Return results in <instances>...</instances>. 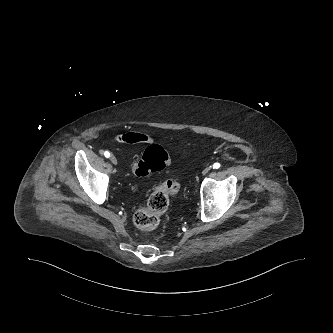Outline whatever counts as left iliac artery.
<instances>
[{
  "instance_id": "1",
  "label": "left iliac artery",
  "mask_w": 333,
  "mask_h": 333,
  "mask_svg": "<svg viewBox=\"0 0 333 333\" xmlns=\"http://www.w3.org/2000/svg\"><path fill=\"white\" fill-rule=\"evenodd\" d=\"M220 168V163L216 162L213 164V169H218Z\"/></svg>"
}]
</instances>
